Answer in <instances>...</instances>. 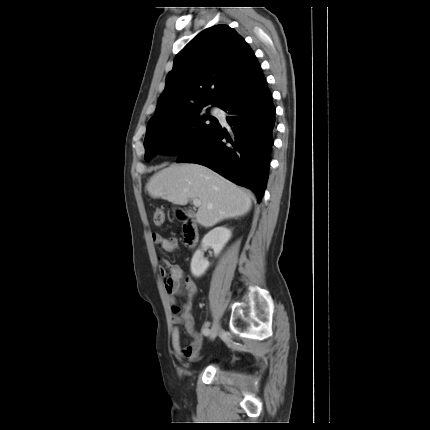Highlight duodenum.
I'll return each mask as SVG.
<instances>
[{
  "label": "duodenum",
  "instance_id": "1",
  "mask_svg": "<svg viewBox=\"0 0 430 430\" xmlns=\"http://www.w3.org/2000/svg\"><path fill=\"white\" fill-rule=\"evenodd\" d=\"M179 217L183 222L182 233L185 244L189 247L195 246L199 239L198 228L195 221L183 214H179Z\"/></svg>",
  "mask_w": 430,
  "mask_h": 430
}]
</instances>
